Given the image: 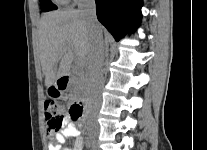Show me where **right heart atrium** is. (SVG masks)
I'll return each instance as SVG.
<instances>
[{
  "label": "right heart atrium",
  "mask_w": 207,
  "mask_h": 150,
  "mask_svg": "<svg viewBox=\"0 0 207 150\" xmlns=\"http://www.w3.org/2000/svg\"><path fill=\"white\" fill-rule=\"evenodd\" d=\"M63 1H77V0H63Z\"/></svg>",
  "instance_id": "obj_1"
}]
</instances>
